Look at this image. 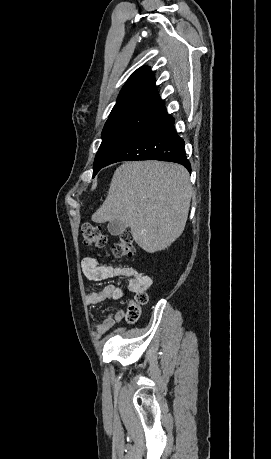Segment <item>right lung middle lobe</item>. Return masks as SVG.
I'll return each mask as SVG.
<instances>
[{"mask_svg": "<svg viewBox=\"0 0 271 459\" xmlns=\"http://www.w3.org/2000/svg\"><path fill=\"white\" fill-rule=\"evenodd\" d=\"M157 116V113L140 110L110 114L95 157L93 177L128 139Z\"/></svg>", "mask_w": 271, "mask_h": 459, "instance_id": "1", "label": "right lung middle lobe"}]
</instances>
